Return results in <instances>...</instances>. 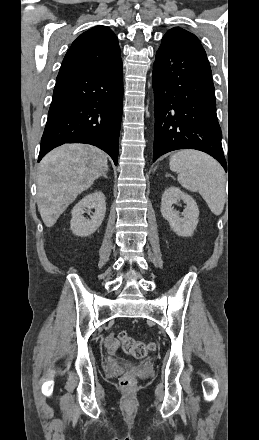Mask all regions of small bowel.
<instances>
[{"label":"small bowel","instance_id":"obj_1","mask_svg":"<svg viewBox=\"0 0 259 440\" xmlns=\"http://www.w3.org/2000/svg\"><path fill=\"white\" fill-rule=\"evenodd\" d=\"M104 345L109 352L113 353L118 348V341L114 334L108 335L104 340Z\"/></svg>","mask_w":259,"mask_h":440}]
</instances>
